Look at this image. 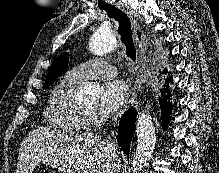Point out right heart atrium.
Masks as SVG:
<instances>
[{"label": "right heart atrium", "mask_w": 219, "mask_h": 173, "mask_svg": "<svg viewBox=\"0 0 219 173\" xmlns=\"http://www.w3.org/2000/svg\"><path fill=\"white\" fill-rule=\"evenodd\" d=\"M103 120H104V117L97 113L91 114L89 118V122L93 126L100 124L101 122H103Z\"/></svg>", "instance_id": "d8ad5b80"}]
</instances>
